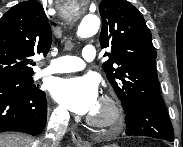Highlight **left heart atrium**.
<instances>
[{
	"mask_svg": "<svg viewBox=\"0 0 183 147\" xmlns=\"http://www.w3.org/2000/svg\"><path fill=\"white\" fill-rule=\"evenodd\" d=\"M51 93L59 104L78 114H90L99 103L98 84L90 76L57 79Z\"/></svg>",
	"mask_w": 183,
	"mask_h": 147,
	"instance_id": "obj_1",
	"label": "left heart atrium"
}]
</instances>
